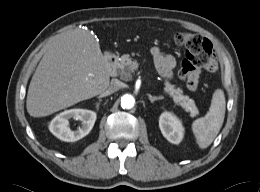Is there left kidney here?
Segmentation results:
<instances>
[{
    "mask_svg": "<svg viewBox=\"0 0 260 192\" xmlns=\"http://www.w3.org/2000/svg\"><path fill=\"white\" fill-rule=\"evenodd\" d=\"M159 128L163 136L173 144H179L184 135L181 121L170 112H163L159 118Z\"/></svg>",
    "mask_w": 260,
    "mask_h": 192,
    "instance_id": "1",
    "label": "left kidney"
}]
</instances>
